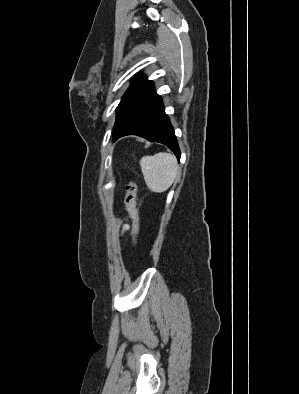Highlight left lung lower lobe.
<instances>
[{
  "instance_id": "0a47b994",
  "label": "left lung lower lobe",
  "mask_w": 299,
  "mask_h": 394,
  "mask_svg": "<svg viewBox=\"0 0 299 394\" xmlns=\"http://www.w3.org/2000/svg\"><path fill=\"white\" fill-rule=\"evenodd\" d=\"M138 135L150 142H159L169 147L178 160L180 151L162 100L151 84L131 105L115 125L113 141L126 135Z\"/></svg>"
}]
</instances>
